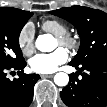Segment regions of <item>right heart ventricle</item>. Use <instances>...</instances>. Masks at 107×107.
<instances>
[{
    "instance_id": "right-heart-ventricle-1",
    "label": "right heart ventricle",
    "mask_w": 107,
    "mask_h": 107,
    "mask_svg": "<svg viewBox=\"0 0 107 107\" xmlns=\"http://www.w3.org/2000/svg\"><path fill=\"white\" fill-rule=\"evenodd\" d=\"M42 29L48 33H51L54 36H60L68 32V26L57 19H48L43 21Z\"/></svg>"
}]
</instances>
